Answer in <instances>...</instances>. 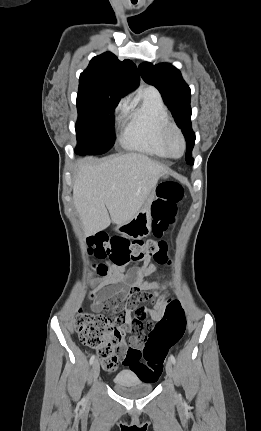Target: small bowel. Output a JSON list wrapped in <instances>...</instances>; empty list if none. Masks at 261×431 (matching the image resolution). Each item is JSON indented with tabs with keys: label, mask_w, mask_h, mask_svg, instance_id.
<instances>
[{
	"label": "small bowel",
	"mask_w": 261,
	"mask_h": 431,
	"mask_svg": "<svg viewBox=\"0 0 261 431\" xmlns=\"http://www.w3.org/2000/svg\"><path fill=\"white\" fill-rule=\"evenodd\" d=\"M148 260L149 258L145 259ZM154 270V264L132 266L127 272L122 267L111 266L107 273L94 283L90 293L92 309L96 312L103 309V300H106L107 304H112L114 299L117 305L122 303L125 306V310L119 313L121 320L118 330L122 335L129 333L131 349L138 350L148 340L147 334H152V331L143 334L144 330H153V327H148L147 315L150 314L152 320L158 322L164 314V303L159 302L156 305L148 303L149 300H156V295H151V291L158 292L163 287L157 281H148ZM147 306H150V309ZM131 315L135 316L132 320ZM113 316H116V313H113ZM127 360L129 358L126 356L125 361Z\"/></svg>",
	"instance_id": "c3829d8e"
}]
</instances>
